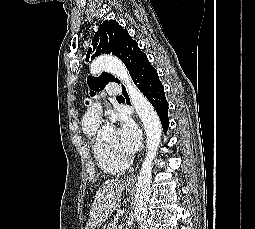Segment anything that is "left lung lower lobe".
I'll return each mask as SVG.
<instances>
[{
	"mask_svg": "<svg viewBox=\"0 0 255 229\" xmlns=\"http://www.w3.org/2000/svg\"><path fill=\"white\" fill-rule=\"evenodd\" d=\"M131 77L136 86L146 96L157 111L163 126V130L166 132L169 126V119L168 103L165 98L164 87L159 80L156 69L148 61L145 54L140 58L133 73L131 74ZM122 93L126 98L127 104H130V100L125 88L123 89Z\"/></svg>",
	"mask_w": 255,
	"mask_h": 229,
	"instance_id": "obj_1",
	"label": "left lung lower lobe"
}]
</instances>
